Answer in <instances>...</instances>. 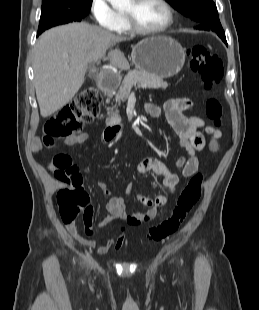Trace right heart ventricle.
I'll return each mask as SVG.
<instances>
[{"label":"right heart ventricle","instance_id":"obj_1","mask_svg":"<svg viewBox=\"0 0 259 310\" xmlns=\"http://www.w3.org/2000/svg\"><path fill=\"white\" fill-rule=\"evenodd\" d=\"M121 16H122V26L118 32L127 33V32H129L130 29L127 25V22H126L124 15H121Z\"/></svg>","mask_w":259,"mask_h":310}]
</instances>
